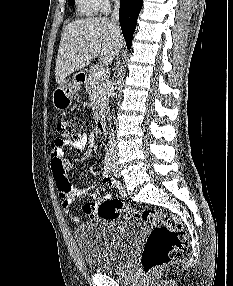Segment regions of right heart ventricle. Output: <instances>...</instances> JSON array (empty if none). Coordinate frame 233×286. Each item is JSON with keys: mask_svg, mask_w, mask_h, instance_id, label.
<instances>
[{"mask_svg": "<svg viewBox=\"0 0 233 286\" xmlns=\"http://www.w3.org/2000/svg\"><path fill=\"white\" fill-rule=\"evenodd\" d=\"M76 4L78 12L86 17L94 16L101 10L97 0H76Z\"/></svg>", "mask_w": 233, "mask_h": 286, "instance_id": "e07e8e85", "label": "right heart ventricle"}]
</instances>
